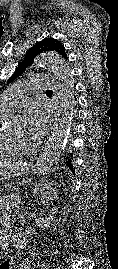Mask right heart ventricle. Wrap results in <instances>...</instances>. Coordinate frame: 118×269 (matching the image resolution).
Returning a JSON list of instances; mask_svg holds the SVG:
<instances>
[{"label":"right heart ventricle","mask_w":118,"mask_h":269,"mask_svg":"<svg viewBox=\"0 0 118 269\" xmlns=\"http://www.w3.org/2000/svg\"><path fill=\"white\" fill-rule=\"evenodd\" d=\"M11 111L0 108V155L17 154L22 150V145L10 132L4 130L3 122Z\"/></svg>","instance_id":"1"}]
</instances>
